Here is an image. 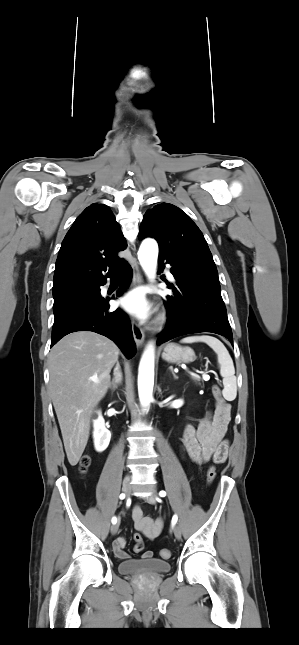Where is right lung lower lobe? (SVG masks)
Returning a JSON list of instances; mask_svg holds the SVG:
<instances>
[{
	"label": "right lung lower lobe",
	"mask_w": 299,
	"mask_h": 645,
	"mask_svg": "<svg viewBox=\"0 0 299 645\" xmlns=\"http://www.w3.org/2000/svg\"><path fill=\"white\" fill-rule=\"evenodd\" d=\"M121 269L123 279L117 292L118 296L121 295L122 290L128 287L132 278V269L128 263L124 262ZM104 284H106V280L97 284L98 297L93 301L79 304L55 318L52 327L51 347L69 333L86 330L104 335L114 341L128 359L134 355L136 345L130 321L126 314L119 309L114 312L108 311L110 299H105L100 295V286Z\"/></svg>",
	"instance_id": "98d812e1"
}]
</instances>
